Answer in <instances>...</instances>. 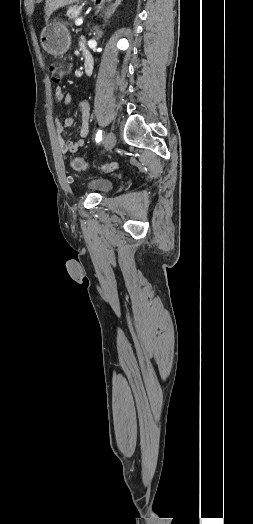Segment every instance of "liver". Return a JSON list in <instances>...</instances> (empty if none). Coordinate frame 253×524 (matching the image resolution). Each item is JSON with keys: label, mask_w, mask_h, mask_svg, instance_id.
Here are the masks:
<instances>
[{"label": "liver", "mask_w": 253, "mask_h": 524, "mask_svg": "<svg viewBox=\"0 0 253 524\" xmlns=\"http://www.w3.org/2000/svg\"><path fill=\"white\" fill-rule=\"evenodd\" d=\"M78 0H46L45 3V20L48 21L51 14L57 9L64 7L66 5L77 2Z\"/></svg>", "instance_id": "6515ba94"}]
</instances>
